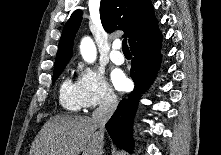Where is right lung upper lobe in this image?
Listing matches in <instances>:
<instances>
[{
    "instance_id": "right-lung-upper-lobe-1",
    "label": "right lung upper lobe",
    "mask_w": 221,
    "mask_h": 155,
    "mask_svg": "<svg viewBox=\"0 0 221 155\" xmlns=\"http://www.w3.org/2000/svg\"><path fill=\"white\" fill-rule=\"evenodd\" d=\"M100 18L107 32L124 30L129 45L142 33L157 24L150 0H101ZM82 12H73L64 26L54 69L67 65L72 57L73 40L80 26Z\"/></svg>"
}]
</instances>
